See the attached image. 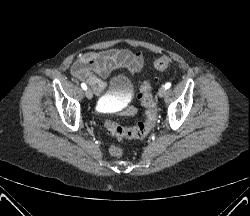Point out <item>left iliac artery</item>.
I'll return each mask as SVG.
<instances>
[{"mask_svg":"<svg viewBox=\"0 0 250 216\" xmlns=\"http://www.w3.org/2000/svg\"><path fill=\"white\" fill-rule=\"evenodd\" d=\"M166 89H169L171 87V83L170 82H167L164 86Z\"/></svg>","mask_w":250,"mask_h":216,"instance_id":"1","label":"left iliac artery"}]
</instances>
